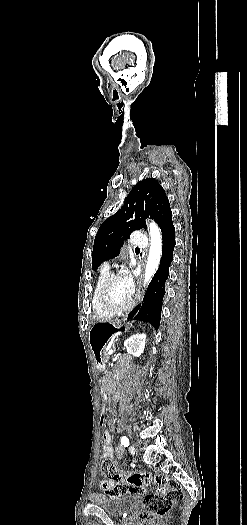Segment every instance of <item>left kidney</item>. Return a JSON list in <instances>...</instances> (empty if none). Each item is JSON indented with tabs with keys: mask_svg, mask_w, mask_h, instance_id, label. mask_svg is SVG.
Segmentation results:
<instances>
[{
	"mask_svg": "<svg viewBox=\"0 0 247 525\" xmlns=\"http://www.w3.org/2000/svg\"><path fill=\"white\" fill-rule=\"evenodd\" d=\"M146 339L147 335H144V333H137V335H132V337H129V339L124 341V347H126L130 355L140 357V355L144 353Z\"/></svg>",
	"mask_w": 247,
	"mask_h": 525,
	"instance_id": "left-kidney-1",
	"label": "left kidney"
}]
</instances>
